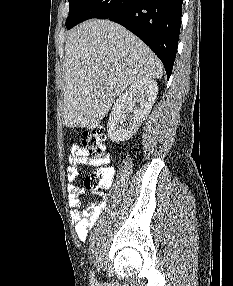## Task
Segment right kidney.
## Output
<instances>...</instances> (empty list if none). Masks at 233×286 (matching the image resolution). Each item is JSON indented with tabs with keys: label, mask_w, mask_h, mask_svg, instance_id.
I'll return each mask as SVG.
<instances>
[{
	"label": "right kidney",
	"mask_w": 233,
	"mask_h": 286,
	"mask_svg": "<svg viewBox=\"0 0 233 286\" xmlns=\"http://www.w3.org/2000/svg\"><path fill=\"white\" fill-rule=\"evenodd\" d=\"M157 94V82L152 78H142L130 85L113 105L107 124L110 140L131 138L150 113Z\"/></svg>",
	"instance_id": "1"
}]
</instances>
